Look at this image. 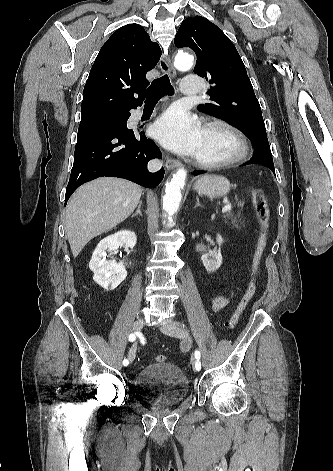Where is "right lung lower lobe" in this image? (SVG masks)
<instances>
[{"mask_svg": "<svg viewBox=\"0 0 333 471\" xmlns=\"http://www.w3.org/2000/svg\"><path fill=\"white\" fill-rule=\"evenodd\" d=\"M130 115L128 110L80 123L65 204L80 185L98 177H120L148 188L161 182L163 168L147 170L148 161L161 158V152L141 129L127 128Z\"/></svg>", "mask_w": 333, "mask_h": 471, "instance_id": "obj_1", "label": "right lung lower lobe"}]
</instances>
